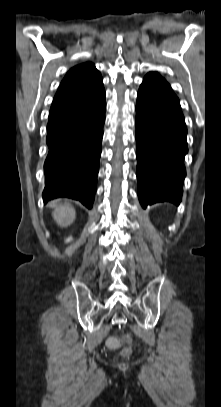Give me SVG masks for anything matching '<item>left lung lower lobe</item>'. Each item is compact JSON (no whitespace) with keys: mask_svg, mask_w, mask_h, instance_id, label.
<instances>
[{"mask_svg":"<svg viewBox=\"0 0 221 407\" xmlns=\"http://www.w3.org/2000/svg\"><path fill=\"white\" fill-rule=\"evenodd\" d=\"M187 128L180 102L160 75L146 76L136 104L138 197L143 208L179 205L186 176Z\"/></svg>","mask_w":221,"mask_h":407,"instance_id":"1","label":"left lung lower lobe"}]
</instances>
